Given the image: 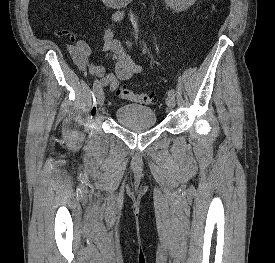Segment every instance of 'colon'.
Masks as SVG:
<instances>
[{
	"mask_svg": "<svg viewBox=\"0 0 275 263\" xmlns=\"http://www.w3.org/2000/svg\"><path fill=\"white\" fill-rule=\"evenodd\" d=\"M116 95L121 99L130 100L141 105H153L157 102L154 94L134 92L127 87H118L116 89Z\"/></svg>",
	"mask_w": 275,
	"mask_h": 263,
	"instance_id": "1",
	"label": "colon"
}]
</instances>
